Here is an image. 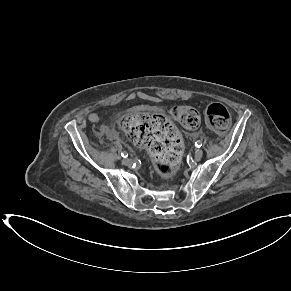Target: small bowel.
Here are the masks:
<instances>
[{"label": "small bowel", "instance_id": "c3829d8e", "mask_svg": "<svg viewBox=\"0 0 291 291\" xmlns=\"http://www.w3.org/2000/svg\"><path fill=\"white\" fill-rule=\"evenodd\" d=\"M136 97H145L143 95H140L139 92L135 93ZM89 121L93 123H98L100 121V116L97 113H90L88 116Z\"/></svg>", "mask_w": 291, "mask_h": 291}]
</instances>
